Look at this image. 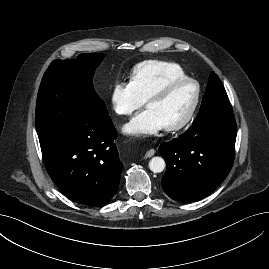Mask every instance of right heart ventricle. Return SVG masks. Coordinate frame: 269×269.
I'll use <instances>...</instances> for the list:
<instances>
[{
  "label": "right heart ventricle",
  "mask_w": 269,
  "mask_h": 269,
  "mask_svg": "<svg viewBox=\"0 0 269 269\" xmlns=\"http://www.w3.org/2000/svg\"><path fill=\"white\" fill-rule=\"evenodd\" d=\"M183 69L175 64L160 60H148L136 65L131 71L130 82L139 97L147 98L168 82L185 78Z\"/></svg>",
  "instance_id": "e07e8e85"
}]
</instances>
